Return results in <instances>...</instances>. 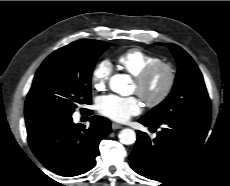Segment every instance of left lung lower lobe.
Segmentation results:
<instances>
[{
  "mask_svg": "<svg viewBox=\"0 0 230 186\" xmlns=\"http://www.w3.org/2000/svg\"><path fill=\"white\" fill-rule=\"evenodd\" d=\"M210 114L177 116L160 123L145 118L139 122L157 128L163 125L157 137L137 131L134 151L129 157L131 168L138 174L163 181L186 167L202 147L210 125Z\"/></svg>",
  "mask_w": 230,
  "mask_h": 186,
  "instance_id": "obj_1",
  "label": "left lung lower lobe"
}]
</instances>
